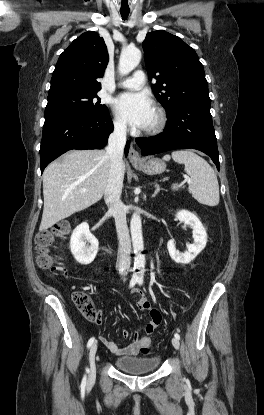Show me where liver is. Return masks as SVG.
<instances>
[{"label": "liver", "mask_w": 264, "mask_h": 415, "mask_svg": "<svg viewBox=\"0 0 264 415\" xmlns=\"http://www.w3.org/2000/svg\"><path fill=\"white\" fill-rule=\"evenodd\" d=\"M110 160L105 150H73L43 173L44 208L40 231L98 202L105 193ZM125 165L123 163V173ZM81 189H86L81 193Z\"/></svg>", "instance_id": "6515ba94"}]
</instances>
